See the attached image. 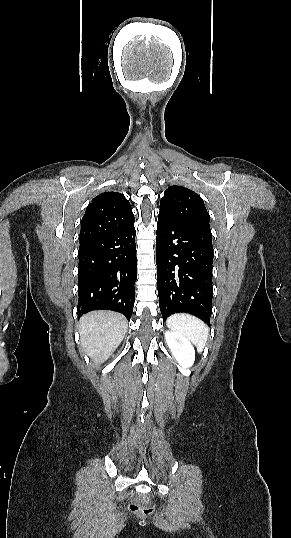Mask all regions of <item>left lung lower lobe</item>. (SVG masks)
Here are the masks:
<instances>
[{
  "instance_id": "left-lung-lower-lobe-1",
  "label": "left lung lower lobe",
  "mask_w": 291,
  "mask_h": 538,
  "mask_svg": "<svg viewBox=\"0 0 291 538\" xmlns=\"http://www.w3.org/2000/svg\"><path fill=\"white\" fill-rule=\"evenodd\" d=\"M211 230L183 224L159 213L156 264L163 319L187 312L210 325L212 313Z\"/></svg>"
}]
</instances>
